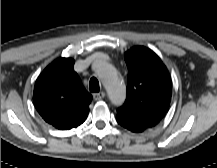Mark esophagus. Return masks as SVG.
I'll use <instances>...</instances> for the list:
<instances>
[{
  "mask_svg": "<svg viewBox=\"0 0 217 168\" xmlns=\"http://www.w3.org/2000/svg\"><path fill=\"white\" fill-rule=\"evenodd\" d=\"M105 97V92L94 93L93 98L95 101H100Z\"/></svg>",
  "mask_w": 217,
  "mask_h": 168,
  "instance_id": "34e87169",
  "label": "esophagus"
}]
</instances>
